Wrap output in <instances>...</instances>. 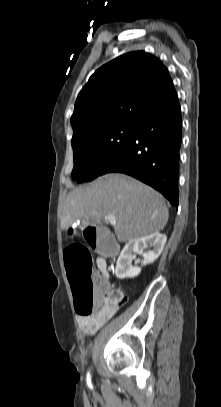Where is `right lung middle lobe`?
<instances>
[{"mask_svg": "<svg viewBox=\"0 0 221 407\" xmlns=\"http://www.w3.org/2000/svg\"><path fill=\"white\" fill-rule=\"evenodd\" d=\"M134 130L135 124L116 125L93 132L72 143L73 180L88 182L101 175L128 144Z\"/></svg>", "mask_w": 221, "mask_h": 407, "instance_id": "right-lung-middle-lobe-1", "label": "right lung middle lobe"}]
</instances>
